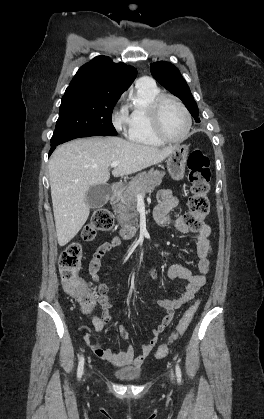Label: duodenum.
<instances>
[{
	"label": "duodenum",
	"mask_w": 264,
	"mask_h": 419,
	"mask_svg": "<svg viewBox=\"0 0 264 419\" xmlns=\"http://www.w3.org/2000/svg\"><path fill=\"white\" fill-rule=\"evenodd\" d=\"M120 193H121L120 186L117 184L113 185L111 189V193H110V200L117 201L120 197ZM135 233H136V228L132 225L124 226L120 231V235L124 239L133 237Z\"/></svg>",
	"instance_id": "410a0bca"
}]
</instances>
